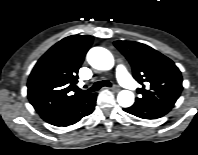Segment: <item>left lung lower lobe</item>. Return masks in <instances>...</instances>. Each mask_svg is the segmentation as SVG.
<instances>
[{"instance_id": "1", "label": "left lung lower lobe", "mask_w": 198, "mask_h": 155, "mask_svg": "<svg viewBox=\"0 0 198 155\" xmlns=\"http://www.w3.org/2000/svg\"><path fill=\"white\" fill-rule=\"evenodd\" d=\"M171 109L172 107L170 105L148 106L135 103L131 107L124 108L123 110L143 119H157L167 114Z\"/></svg>"}]
</instances>
